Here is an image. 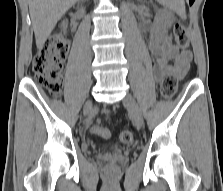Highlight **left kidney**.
I'll list each match as a JSON object with an SVG mask.
<instances>
[{
    "label": "left kidney",
    "mask_w": 223,
    "mask_h": 191,
    "mask_svg": "<svg viewBox=\"0 0 223 191\" xmlns=\"http://www.w3.org/2000/svg\"><path fill=\"white\" fill-rule=\"evenodd\" d=\"M171 25V18L167 13H158L155 17V24L152 33L155 36H159L162 33H166L167 29Z\"/></svg>",
    "instance_id": "left-kidney-1"
}]
</instances>
